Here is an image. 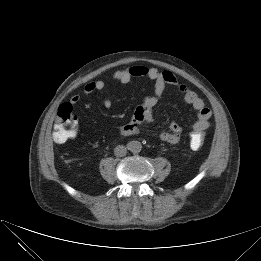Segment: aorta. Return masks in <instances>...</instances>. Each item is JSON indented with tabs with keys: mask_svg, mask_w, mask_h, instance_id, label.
Listing matches in <instances>:
<instances>
[{
	"mask_svg": "<svg viewBox=\"0 0 261 261\" xmlns=\"http://www.w3.org/2000/svg\"><path fill=\"white\" fill-rule=\"evenodd\" d=\"M128 149L132 153H139L142 149V144L139 141H131L128 144Z\"/></svg>",
	"mask_w": 261,
	"mask_h": 261,
	"instance_id": "1",
	"label": "aorta"
}]
</instances>
